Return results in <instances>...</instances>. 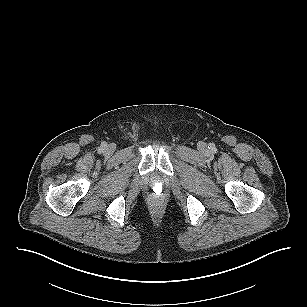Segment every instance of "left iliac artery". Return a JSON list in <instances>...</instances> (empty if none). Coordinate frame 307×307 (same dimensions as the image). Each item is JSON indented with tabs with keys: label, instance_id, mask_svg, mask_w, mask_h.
Returning a JSON list of instances; mask_svg holds the SVG:
<instances>
[{
	"label": "left iliac artery",
	"instance_id": "44dca946",
	"mask_svg": "<svg viewBox=\"0 0 307 307\" xmlns=\"http://www.w3.org/2000/svg\"><path fill=\"white\" fill-rule=\"evenodd\" d=\"M211 149H212V150L215 149V146H214V145H211Z\"/></svg>",
	"mask_w": 307,
	"mask_h": 307
}]
</instances>
